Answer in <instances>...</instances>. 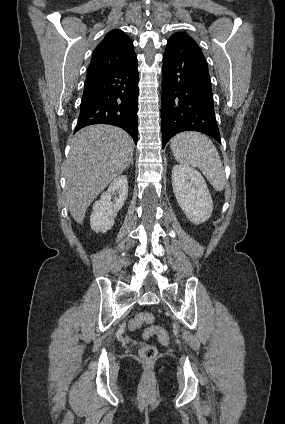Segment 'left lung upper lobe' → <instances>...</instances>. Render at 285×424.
Here are the masks:
<instances>
[{"label": "left lung upper lobe", "instance_id": "1", "mask_svg": "<svg viewBox=\"0 0 285 424\" xmlns=\"http://www.w3.org/2000/svg\"><path fill=\"white\" fill-rule=\"evenodd\" d=\"M177 37L195 42L189 35H186L185 33H182V32L175 33L170 38H177Z\"/></svg>", "mask_w": 285, "mask_h": 424}]
</instances>
